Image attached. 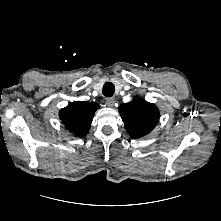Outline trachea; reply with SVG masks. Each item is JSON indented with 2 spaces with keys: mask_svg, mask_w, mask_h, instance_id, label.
<instances>
[{
  "mask_svg": "<svg viewBox=\"0 0 221 221\" xmlns=\"http://www.w3.org/2000/svg\"><path fill=\"white\" fill-rule=\"evenodd\" d=\"M115 91V86L111 82H107L103 86V95L106 97H112Z\"/></svg>",
  "mask_w": 221,
  "mask_h": 221,
  "instance_id": "obj_1",
  "label": "trachea"
}]
</instances>
